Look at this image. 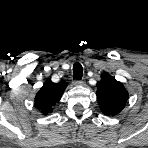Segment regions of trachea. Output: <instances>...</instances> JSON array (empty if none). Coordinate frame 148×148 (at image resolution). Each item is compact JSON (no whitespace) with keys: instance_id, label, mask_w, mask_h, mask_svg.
Here are the masks:
<instances>
[{"instance_id":"1","label":"trachea","mask_w":148,"mask_h":148,"mask_svg":"<svg viewBox=\"0 0 148 148\" xmlns=\"http://www.w3.org/2000/svg\"><path fill=\"white\" fill-rule=\"evenodd\" d=\"M83 76V67L80 63L76 62L73 65V78L76 80H81Z\"/></svg>"}]
</instances>
